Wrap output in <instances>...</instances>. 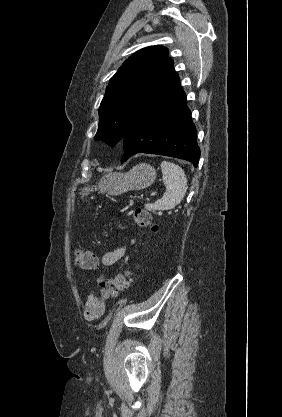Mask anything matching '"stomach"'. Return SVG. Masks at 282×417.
Listing matches in <instances>:
<instances>
[{"mask_svg": "<svg viewBox=\"0 0 282 417\" xmlns=\"http://www.w3.org/2000/svg\"><path fill=\"white\" fill-rule=\"evenodd\" d=\"M156 178L155 168L147 162H139L133 166L128 172H107L103 174L97 184L100 192H107V194H122L127 190H141L147 188ZM93 188L85 186L81 188L80 194H90Z\"/></svg>", "mask_w": 282, "mask_h": 417, "instance_id": "1", "label": "stomach"}]
</instances>
